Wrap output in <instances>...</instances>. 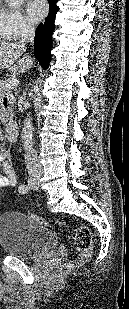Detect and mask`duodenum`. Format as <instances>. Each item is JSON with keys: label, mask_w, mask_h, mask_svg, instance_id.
<instances>
[{"label": "duodenum", "mask_w": 129, "mask_h": 309, "mask_svg": "<svg viewBox=\"0 0 129 309\" xmlns=\"http://www.w3.org/2000/svg\"><path fill=\"white\" fill-rule=\"evenodd\" d=\"M5 108H7V104L4 105ZM18 132H19V127L18 124L10 120L6 123L5 125V135L8 141L13 142L17 139L18 137Z\"/></svg>", "instance_id": "410a0bca"}]
</instances>
